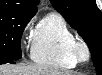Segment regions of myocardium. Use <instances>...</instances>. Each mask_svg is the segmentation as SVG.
Here are the masks:
<instances>
[{
	"instance_id": "f54148a6",
	"label": "myocardium",
	"mask_w": 102,
	"mask_h": 75,
	"mask_svg": "<svg viewBox=\"0 0 102 75\" xmlns=\"http://www.w3.org/2000/svg\"><path fill=\"white\" fill-rule=\"evenodd\" d=\"M74 56L77 61H86L89 57V49L87 45L80 40H77L73 47Z\"/></svg>"
}]
</instances>
